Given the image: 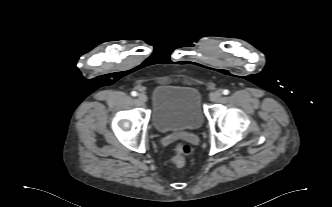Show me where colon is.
Masks as SVG:
<instances>
[{
  "label": "colon",
  "mask_w": 332,
  "mask_h": 207,
  "mask_svg": "<svg viewBox=\"0 0 332 207\" xmlns=\"http://www.w3.org/2000/svg\"><path fill=\"white\" fill-rule=\"evenodd\" d=\"M174 156L172 162L174 165L181 167L184 165L186 158L192 155V146L184 141H179L173 146Z\"/></svg>",
  "instance_id": "5ec220e1"
}]
</instances>
